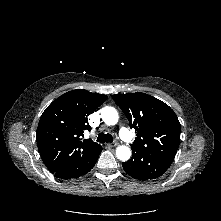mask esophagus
<instances>
[{"instance_id":"1","label":"esophagus","mask_w":221,"mask_h":221,"mask_svg":"<svg viewBox=\"0 0 221 221\" xmlns=\"http://www.w3.org/2000/svg\"><path fill=\"white\" fill-rule=\"evenodd\" d=\"M118 144L116 143V142H114V143H107L106 144V146L107 147H115V146H117Z\"/></svg>"}]
</instances>
